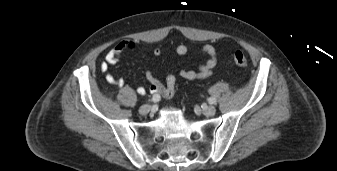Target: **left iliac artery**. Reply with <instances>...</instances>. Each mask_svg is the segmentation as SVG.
I'll list each match as a JSON object with an SVG mask.
<instances>
[{
    "mask_svg": "<svg viewBox=\"0 0 337 171\" xmlns=\"http://www.w3.org/2000/svg\"><path fill=\"white\" fill-rule=\"evenodd\" d=\"M208 102H209L210 104H216V99L213 98V97H210V98L208 99Z\"/></svg>",
    "mask_w": 337,
    "mask_h": 171,
    "instance_id": "obj_1",
    "label": "left iliac artery"
}]
</instances>
